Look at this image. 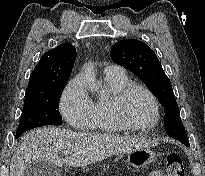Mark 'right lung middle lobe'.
I'll use <instances>...</instances> for the list:
<instances>
[{
    "label": "right lung middle lobe",
    "mask_w": 205,
    "mask_h": 176,
    "mask_svg": "<svg viewBox=\"0 0 205 176\" xmlns=\"http://www.w3.org/2000/svg\"><path fill=\"white\" fill-rule=\"evenodd\" d=\"M65 85H60L44 93L25 96L16 138L25 131L36 127L62 124V116L58 111V101Z\"/></svg>",
    "instance_id": "dd1d6c3e"
}]
</instances>
